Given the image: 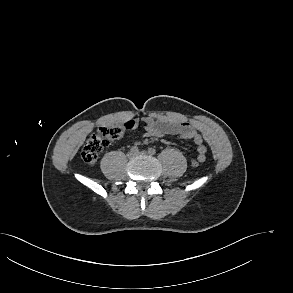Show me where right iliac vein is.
<instances>
[{
    "instance_id": "obj_1",
    "label": "right iliac vein",
    "mask_w": 293,
    "mask_h": 293,
    "mask_svg": "<svg viewBox=\"0 0 293 293\" xmlns=\"http://www.w3.org/2000/svg\"><path fill=\"white\" fill-rule=\"evenodd\" d=\"M136 154H137V153H135V152H133V151H130V152L127 154V157H128L129 159H132V158H134V157L136 156Z\"/></svg>"
}]
</instances>
